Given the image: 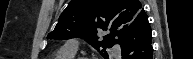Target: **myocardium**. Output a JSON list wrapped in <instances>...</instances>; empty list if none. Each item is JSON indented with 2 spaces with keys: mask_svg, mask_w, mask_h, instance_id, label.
<instances>
[{
  "mask_svg": "<svg viewBox=\"0 0 193 59\" xmlns=\"http://www.w3.org/2000/svg\"><path fill=\"white\" fill-rule=\"evenodd\" d=\"M73 59H91L89 57H84V56H79V57H76V58H73Z\"/></svg>",
  "mask_w": 193,
  "mask_h": 59,
  "instance_id": "obj_1",
  "label": "myocardium"
}]
</instances>
